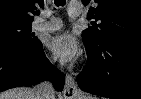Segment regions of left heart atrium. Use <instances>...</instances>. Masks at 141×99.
<instances>
[{"mask_svg": "<svg viewBox=\"0 0 141 99\" xmlns=\"http://www.w3.org/2000/svg\"><path fill=\"white\" fill-rule=\"evenodd\" d=\"M50 49L56 57L66 62L73 61L80 52L78 41L68 33L53 38Z\"/></svg>", "mask_w": 141, "mask_h": 99, "instance_id": "39dd6f15", "label": "left heart atrium"}]
</instances>
